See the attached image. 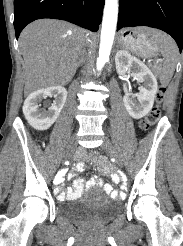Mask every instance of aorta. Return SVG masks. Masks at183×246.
Returning <instances> with one entry per match:
<instances>
[{
	"instance_id": "1",
	"label": "aorta",
	"mask_w": 183,
	"mask_h": 246,
	"mask_svg": "<svg viewBox=\"0 0 183 246\" xmlns=\"http://www.w3.org/2000/svg\"><path fill=\"white\" fill-rule=\"evenodd\" d=\"M118 19V0H106L100 37L97 70H101L109 60Z\"/></svg>"
}]
</instances>
